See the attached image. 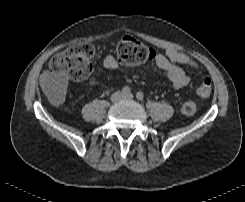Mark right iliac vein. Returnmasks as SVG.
<instances>
[{"label": "right iliac vein", "mask_w": 245, "mask_h": 202, "mask_svg": "<svg viewBox=\"0 0 245 202\" xmlns=\"http://www.w3.org/2000/svg\"><path fill=\"white\" fill-rule=\"evenodd\" d=\"M122 98H123V94L121 92H116L111 96V101L113 103H116L122 100Z\"/></svg>", "instance_id": "right-iliac-vein-1"}]
</instances>
